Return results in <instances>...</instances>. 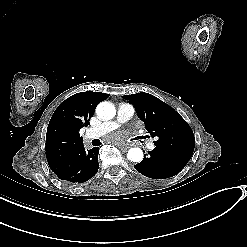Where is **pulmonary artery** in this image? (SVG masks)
I'll return each mask as SVG.
<instances>
[{"label": "pulmonary artery", "mask_w": 247, "mask_h": 247, "mask_svg": "<svg viewBox=\"0 0 247 247\" xmlns=\"http://www.w3.org/2000/svg\"><path fill=\"white\" fill-rule=\"evenodd\" d=\"M135 113V109L128 103H120L117 108V119L104 122L96 126L91 125L88 127L87 132L84 135V140H89L95 137L96 134H107L114 132L120 128L121 123L129 120ZM146 146L149 150L156 148V143L152 140L147 141Z\"/></svg>", "instance_id": "obj_1"}]
</instances>
